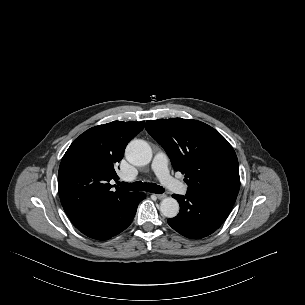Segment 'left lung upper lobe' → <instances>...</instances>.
<instances>
[{"label":"left lung upper lobe","instance_id":"1","mask_svg":"<svg viewBox=\"0 0 305 305\" xmlns=\"http://www.w3.org/2000/svg\"><path fill=\"white\" fill-rule=\"evenodd\" d=\"M146 130L164 148L174 170L185 174L189 193H235L240 188L238 159L214 128L192 119L146 122Z\"/></svg>","mask_w":305,"mask_h":305}]
</instances>
